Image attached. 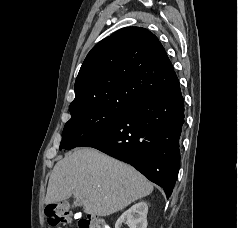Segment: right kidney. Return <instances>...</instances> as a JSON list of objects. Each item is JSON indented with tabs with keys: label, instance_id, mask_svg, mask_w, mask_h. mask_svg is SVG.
I'll return each mask as SVG.
<instances>
[{
	"label": "right kidney",
	"instance_id": "ca27d5eb",
	"mask_svg": "<svg viewBox=\"0 0 238 228\" xmlns=\"http://www.w3.org/2000/svg\"><path fill=\"white\" fill-rule=\"evenodd\" d=\"M147 213L148 204L146 202L136 203L119 217L115 228H120L123 223L129 228H147Z\"/></svg>",
	"mask_w": 238,
	"mask_h": 228
}]
</instances>
